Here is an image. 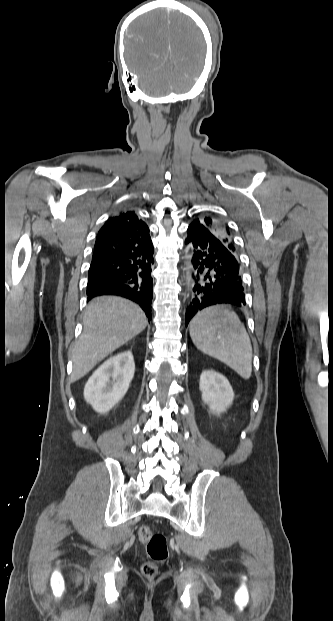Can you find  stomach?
Returning <instances> with one entry per match:
<instances>
[{
  "instance_id": "obj_1",
  "label": "stomach",
  "mask_w": 333,
  "mask_h": 621,
  "mask_svg": "<svg viewBox=\"0 0 333 621\" xmlns=\"http://www.w3.org/2000/svg\"><path fill=\"white\" fill-rule=\"evenodd\" d=\"M215 308L217 309V313H216L217 319L234 317V315H236L233 311L226 308L225 306H216Z\"/></svg>"
}]
</instances>
